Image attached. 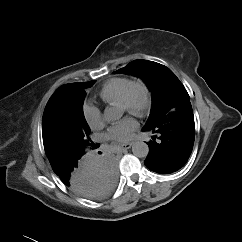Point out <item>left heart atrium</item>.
<instances>
[{
	"label": "left heart atrium",
	"instance_id": "left-heart-atrium-1",
	"mask_svg": "<svg viewBox=\"0 0 242 242\" xmlns=\"http://www.w3.org/2000/svg\"><path fill=\"white\" fill-rule=\"evenodd\" d=\"M137 127V121L131 116H126L108 129L107 137L114 142L124 143L132 138Z\"/></svg>",
	"mask_w": 242,
	"mask_h": 242
}]
</instances>
